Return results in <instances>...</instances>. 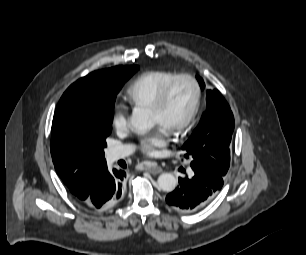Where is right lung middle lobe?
<instances>
[{"label": "right lung middle lobe", "mask_w": 306, "mask_h": 255, "mask_svg": "<svg viewBox=\"0 0 306 255\" xmlns=\"http://www.w3.org/2000/svg\"><path fill=\"white\" fill-rule=\"evenodd\" d=\"M138 66L120 70V83L94 98H69L60 108L52 131L51 154L56 171L70 182L81 179L90 169L106 164L104 148L112 131L116 94Z\"/></svg>", "instance_id": "1"}]
</instances>
